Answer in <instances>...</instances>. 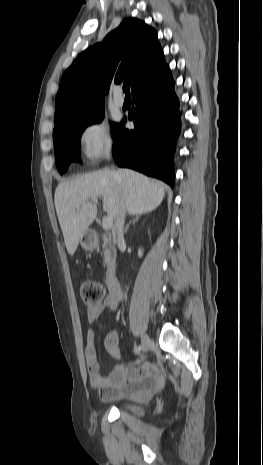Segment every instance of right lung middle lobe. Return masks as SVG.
<instances>
[{
    "label": "right lung middle lobe",
    "mask_w": 263,
    "mask_h": 465,
    "mask_svg": "<svg viewBox=\"0 0 263 465\" xmlns=\"http://www.w3.org/2000/svg\"><path fill=\"white\" fill-rule=\"evenodd\" d=\"M104 104L74 111L55 123L53 131L56 166L62 174L72 161L80 157L78 146L83 131L88 125L98 123L103 118ZM117 124H113V130Z\"/></svg>",
    "instance_id": "right-lung-middle-lobe-1"
}]
</instances>
